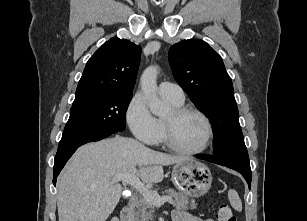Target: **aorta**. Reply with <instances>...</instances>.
I'll list each match as a JSON object with an SVG mask.
<instances>
[{
	"instance_id": "1",
	"label": "aorta",
	"mask_w": 307,
	"mask_h": 221,
	"mask_svg": "<svg viewBox=\"0 0 307 221\" xmlns=\"http://www.w3.org/2000/svg\"><path fill=\"white\" fill-rule=\"evenodd\" d=\"M157 75L158 69L155 66L146 68L141 75L140 86L148 101L150 111L154 115L161 116L166 114L169 108L159 99L157 95Z\"/></svg>"
}]
</instances>
